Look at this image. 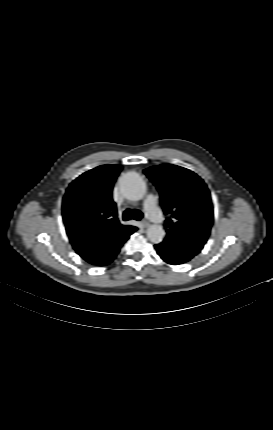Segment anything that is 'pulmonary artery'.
<instances>
[{
	"mask_svg": "<svg viewBox=\"0 0 273 430\" xmlns=\"http://www.w3.org/2000/svg\"><path fill=\"white\" fill-rule=\"evenodd\" d=\"M145 209L150 218L156 222H161L162 213L156 205V197L152 194L148 195L145 200Z\"/></svg>",
	"mask_w": 273,
	"mask_h": 430,
	"instance_id": "obj_1",
	"label": "pulmonary artery"
}]
</instances>
